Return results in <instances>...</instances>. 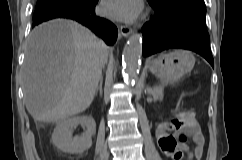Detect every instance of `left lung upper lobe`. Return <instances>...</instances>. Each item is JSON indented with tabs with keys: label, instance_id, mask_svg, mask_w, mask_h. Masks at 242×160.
Listing matches in <instances>:
<instances>
[{
	"label": "left lung upper lobe",
	"instance_id": "obj_1",
	"mask_svg": "<svg viewBox=\"0 0 242 160\" xmlns=\"http://www.w3.org/2000/svg\"><path fill=\"white\" fill-rule=\"evenodd\" d=\"M148 2L155 8L172 15L185 13L206 15L204 0H148Z\"/></svg>",
	"mask_w": 242,
	"mask_h": 160
}]
</instances>
